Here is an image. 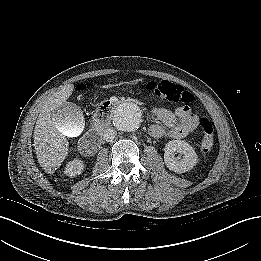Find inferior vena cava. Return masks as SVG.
Wrapping results in <instances>:
<instances>
[{
    "instance_id": "obj_1",
    "label": "inferior vena cava",
    "mask_w": 261,
    "mask_h": 261,
    "mask_svg": "<svg viewBox=\"0 0 261 261\" xmlns=\"http://www.w3.org/2000/svg\"><path fill=\"white\" fill-rule=\"evenodd\" d=\"M116 135V130H114L113 128H107L106 130H104L103 138L105 141L109 142L112 141L116 137Z\"/></svg>"
}]
</instances>
